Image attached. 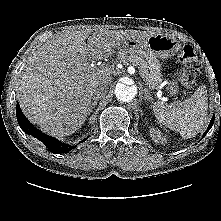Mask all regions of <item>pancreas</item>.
<instances>
[{
  "mask_svg": "<svg viewBox=\"0 0 221 221\" xmlns=\"http://www.w3.org/2000/svg\"><path fill=\"white\" fill-rule=\"evenodd\" d=\"M120 60L136 66L140 76L151 88H156L162 82L161 71L149 55L142 52H125L120 56Z\"/></svg>",
  "mask_w": 221,
  "mask_h": 221,
  "instance_id": "obj_1",
  "label": "pancreas"
}]
</instances>
